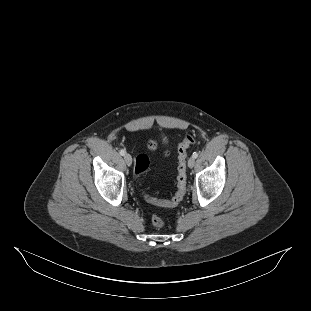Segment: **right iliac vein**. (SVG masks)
<instances>
[{"mask_svg": "<svg viewBox=\"0 0 311 311\" xmlns=\"http://www.w3.org/2000/svg\"><path fill=\"white\" fill-rule=\"evenodd\" d=\"M124 160H125V162H126V164H127L128 166H130V165L132 164V157H131L130 154H125V155H124Z\"/></svg>", "mask_w": 311, "mask_h": 311, "instance_id": "63e3f726", "label": "right iliac vein"}]
</instances>
